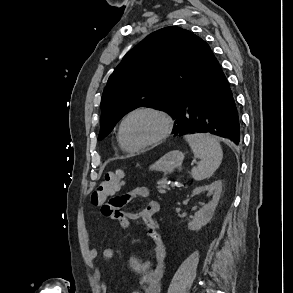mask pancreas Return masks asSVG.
Instances as JSON below:
<instances>
[{
    "mask_svg": "<svg viewBox=\"0 0 293 293\" xmlns=\"http://www.w3.org/2000/svg\"><path fill=\"white\" fill-rule=\"evenodd\" d=\"M157 190L161 194H165L167 190H170L167 178H163L157 182Z\"/></svg>",
    "mask_w": 293,
    "mask_h": 293,
    "instance_id": "1",
    "label": "pancreas"
}]
</instances>
